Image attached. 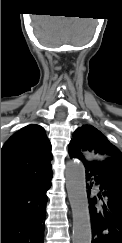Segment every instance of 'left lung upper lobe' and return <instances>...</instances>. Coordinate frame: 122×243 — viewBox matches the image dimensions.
<instances>
[{
    "label": "left lung upper lobe",
    "mask_w": 122,
    "mask_h": 243,
    "mask_svg": "<svg viewBox=\"0 0 122 243\" xmlns=\"http://www.w3.org/2000/svg\"><path fill=\"white\" fill-rule=\"evenodd\" d=\"M68 150L71 158H78L82 161L84 159L104 161L108 158L122 160L120 150L91 125H83L74 132Z\"/></svg>",
    "instance_id": "left-lung-upper-lobe-1"
}]
</instances>
